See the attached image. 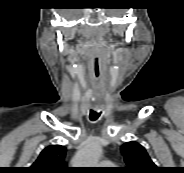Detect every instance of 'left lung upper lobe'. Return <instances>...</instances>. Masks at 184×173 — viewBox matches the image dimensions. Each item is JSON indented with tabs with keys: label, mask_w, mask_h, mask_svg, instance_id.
Instances as JSON below:
<instances>
[{
	"label": "left lung upper lobe",
	"mask_w": 184,
	"mask_h": 173,
	"mask_svg": "<svg viewBox=\"0 0 184 173\" xmlns=\"http://www.w3.org/2000/svg\"><path fill=\"white\" fill-rule=\"evenodd\" d=\"M121 152L127 167L124 173H157V167L143 146L137 142H127L121 146Z\"/></svg>",
	"instance_id": "left-lung-upper-lobe-1"
}]
</instances>
